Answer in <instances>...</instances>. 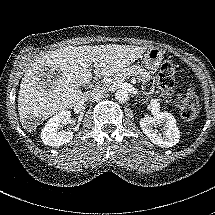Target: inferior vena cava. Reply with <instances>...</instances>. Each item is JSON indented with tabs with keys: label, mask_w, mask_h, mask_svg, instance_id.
Returning <instances> with one entry per match:
<instances>
[{
	"label": "inferior vena cava",
	"mask_w": 215,
	"mask_h": 215,
	"mask_svg": "<svg viewBox=\"0 0 215 215\" xmlns=\"http://www.w3.org/2000/svg\"><path fill=\"white\" fill-rule=\"evenodd\" d=\"M105 91V88H101V87H96L90 91H87L83 94V98L85 100H89V99H95V98H98V97H101L103 95Z\"/></svg>",
	"instance_id": "obj_1"
}]
</instances>
